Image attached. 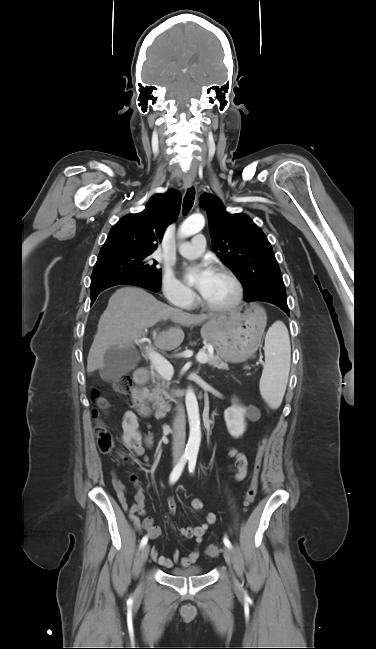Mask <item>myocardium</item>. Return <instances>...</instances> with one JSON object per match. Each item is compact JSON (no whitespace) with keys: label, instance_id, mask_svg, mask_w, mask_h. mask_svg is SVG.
I'll return each mask as SVG.
<instances>
[{"label":"myocardium","instance_id":"myocardium-1","mask_svg":"<svg viewBox=\"0 0 376 649\" xmlns=\"http://www.w3.org/2000/svg\"><path fill=\"white\" fill-rule=\"evenodd\" d=\"M216 272L226 275L231 280V282L233 283L234 288H235L234 297L232 298L231 301H229L226 304L213 305V304L208 303L204 299L203 295L201 294L200 297H199V303L203 308H205L206 310H208L210 312H214V313L229 312V311L235 309L242 302L243 295H244L243 285H242L241 281L239 280V278L237 277V275L232 270H230L229 268H227L225 266L217 267Z\"/></svg>","mask_w":376,"mask_h":649}]
</instances>
